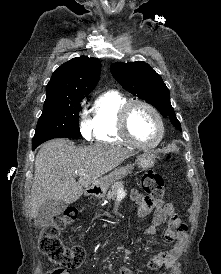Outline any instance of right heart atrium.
<instances>
[{
  "label": "right heart atrium",
  "mask_w": 221,
  "mask_h": 274,
  "mask_svg": "<svg viewBox=\"0 0 221 274\" xmlns=\"http://www.w3.org/2000/svg\"><path fill=\"white\" fill-rule=\"evenodd\" d=\"M80 131L85 139L90 140L92 138L91 121H89L86 116H83L80 120Z\"/></svg>",
  "instance_id": "d8ad5b80"
}]
</instances>
